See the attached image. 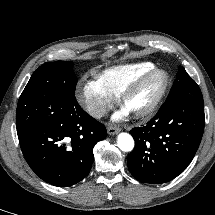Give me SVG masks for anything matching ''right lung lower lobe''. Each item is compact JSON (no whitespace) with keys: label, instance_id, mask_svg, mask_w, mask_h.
Returning <instances> with one entry per match:
<instances>
[{"label":"right lung lower lobe","instance_id":"1","mask_svg":"<svg viewBox=\"0 0 215 215\" xmlns=\"http://www.w3.org/2000/svg\"><path fill=\"white\" fill-rule=\"evenodd\" d=\"M106 135L105 126L76 102L54 112L19 142L27 163L42 180L66 187L89 173L94 145Z\"/></svg>","mask_w":215,"mask_h":215}]
</instances>
